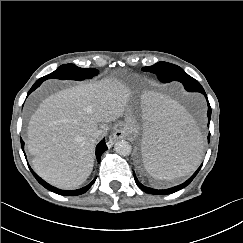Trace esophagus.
<instances>
[{
  "instance_id": "obj_1",
  "label": "esophagus",
  "mask_w": 243,
  "mask_h": 243,
  "mask_svg": "<svg viewBox=\"0 0 243 243\" xmlns=\"http://www.w3.org/2000/svg\"><path fill=\"white\" fill-rule=\"evenodd\" d=\"M127 131L123 128L117 129L111 136L110 141L113 143L114 141L126 139L127 138Z\"/></svg>"
}]
</instances>
